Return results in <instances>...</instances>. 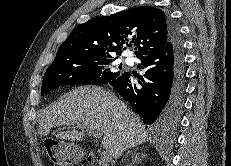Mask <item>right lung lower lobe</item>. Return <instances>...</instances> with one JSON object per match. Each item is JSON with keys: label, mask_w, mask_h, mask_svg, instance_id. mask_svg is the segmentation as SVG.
<instances>
[{"label": "right lung lower lobe", "mask_w": 231, "mask_h": 166, "mask_svg": "<svg viewBox=\"0 0 231 166\" xmlns=\"http://www.w3.org/2000/svg\"><path fill=\"white\" fill-rule=\"evenodd\" d=\"M170 41L159 51L139 58L144 78L136 87L129 72L108 81L114 90L129 102L143 122L156 134H164L179 122L185 89L182 39L174 22L169 19Z\"/></svg>", "instance_id": "1"}]
</instances>
